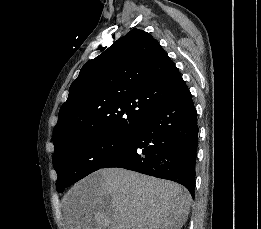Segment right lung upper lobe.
Here are the masks:
<instances>
[{"instance_id":"1","label":"right lung upper lobe","mask_w":261,"mask_h":229,"mask_svg":"<svg viewBox=\"0 0 261 229\" xmlns=\"http://www.w3.org/2000/svg\"><path fill=\"white\" fill-rule=\"evenodd\" d=\"M182 82L158 41L133 29L82 67L60 108L55 148L85 133L135 134Z\"/></svg>"}]
</instances>
